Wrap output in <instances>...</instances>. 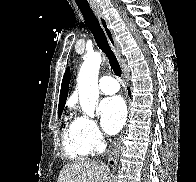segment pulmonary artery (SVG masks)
I'll return each mask as SVG.
<instances>
[{
    "label": "pulmonary artery",
    "mask_w": 196,
    "mask_h": 182,
    "mask_svg": "<svg viewBox=\"0 0 196 182\" xmlns=\"http://www.w3.org/2000/svg\"><path fill=\"white\" fill-rule=\"evenodd\" d=\"M99 89L104 94H114L119 90L117 80L112 76H104L99 81Z\"/></svg>",
    "instance_id": "pulmonary-artery-1"
}]
</instances>
